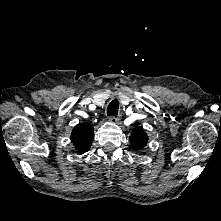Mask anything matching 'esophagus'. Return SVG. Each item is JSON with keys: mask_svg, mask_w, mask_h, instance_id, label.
I'll return each mask as SVG.
<instances>
[{"mask_svg": "<svg viewBox=\"0 0 221 221\" xmlns=\"http://www.w3.org/2000/svg\"><path fill=\"white\" fill-rule=\"evenodd\" d=\"M120 117H121L120 114L118 115V117L112 116V117H110L109 121L111 123H117L119 121Z\"/></svg>", "mask_w": 221, "mask_h": 221, "instance_id": "obj_1", "label": "esophagus"}]
</instances>
